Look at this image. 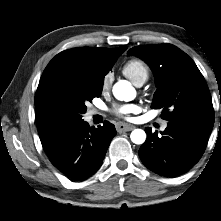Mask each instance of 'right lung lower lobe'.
<instances>
[{"label": "right lung lower lobe", "mask_w": 221, "mask_h": 221, "mask_svg": "<svg viewBox=\"0 0 221 221\" xmlns=\"http://www.w3.org/2000/svg\"><path fill=\"white\" fill-rule=\"evenodd\" d=\"M115 135V126L108 121L95 128L82 120L62 134L46 153L69 179L84 180L100 168Z\"/></svg>", "instance_id": "1"}]
</instances>
